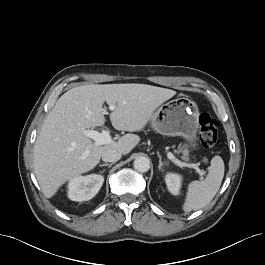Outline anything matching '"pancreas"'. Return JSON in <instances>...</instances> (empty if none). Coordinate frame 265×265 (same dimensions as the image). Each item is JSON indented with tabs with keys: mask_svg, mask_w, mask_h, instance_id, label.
I'll list each match as a JSON object with an SVG mask.
<instances>
[{
	"mask_svg": "<svg viewBox=\"0 0 265 265\" xmlns=\"http://www.w3.org/2000/svg\"><path fill=\"white\" fill-rule=\"evenodd\" d=\"M175 153L177 154H182L181 159L184 161H189V151L186 147L184 146H179L178 150H174Z\"/></svg>",
	"mask_w": 265,
	"mask_h": 265,
	"instance_id": "pancreas-1",
	"label": "pancreas"
}]
</instances>
